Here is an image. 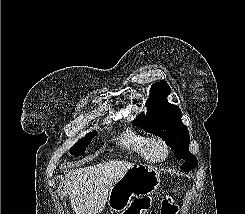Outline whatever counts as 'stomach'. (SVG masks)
Listing matches in <instances>:
<instances>
[{"instance_id": "0dacf381", "label": "stomach", "mask_w": 245, "mask_h": 214, "mask_svg": "<svg viewBox=\"0 0 245 214\" xmlns=\"http://www.w3.org/2000/svg\"><path fill=\"white\" fill-rule=\"evenodd\" d=\"M160 185L159 172L150 166L136 165L110 189L108 206L112 211L127 209L133 196L153 194Z\"/></svg>"}]
</instances>
